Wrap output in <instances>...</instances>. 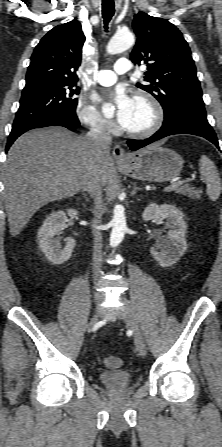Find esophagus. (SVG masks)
<instances>
[{
	"mask_svg": "<svg viewBox=\"0 0 222 447\" xmlns=\"http://www.w3.org/2000/svg\"><path fill=\"white\" fill-rule=\"evenodd\" d=\"M113 156L117 163H122L126 160V153L120 145H115L113 148Z\"/></svg>",
	"mask_w": 222,
	"mask_h": 447,
	"instance_id": "34e87169",
	"label": "esophagus"
}]
</instances>
